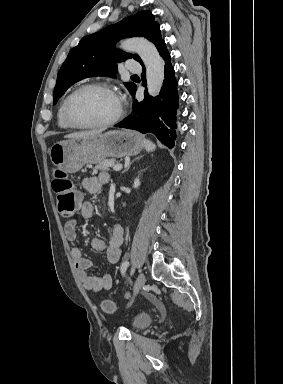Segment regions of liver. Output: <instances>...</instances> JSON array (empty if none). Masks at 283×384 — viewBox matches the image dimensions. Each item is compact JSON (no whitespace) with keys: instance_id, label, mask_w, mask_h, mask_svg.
Listing matches in <instances>:
<instances>
[{"instance_id":"6515ba94","label":"liver","mask_w":283,"mask_h":384,"mask_svg":"<svg viewBox=\"0 0 283 384\" xmlns=\"http://www.w3.org/2000/svg\"><path fill=\"white\" fill-rule=\"evenodd\" d=\"M102 130H90V132H73V134H68L64 138H70V140H77V138H85V136H96V134H101Z\"/></svg>"}]
</instances>
